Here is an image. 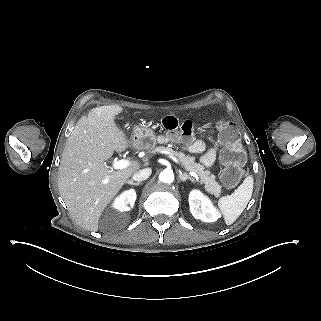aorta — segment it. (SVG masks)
Returning <instances> with one entry per match:
<instances>
[{"label":"aorta","instance_id":"1","mask_svg":"<svg viewBox=\"0 0 321 321\" xmlns=\"http://www.w3.org/2000/svg\"><path fill=\"white\" fill-rule=\"evenodd\" d=\"M159 180L163 183H172L174 181V174L171 170H164L159 175Z\"/></svg>","mask_w":321,"mask_h":321}]
</instances>
